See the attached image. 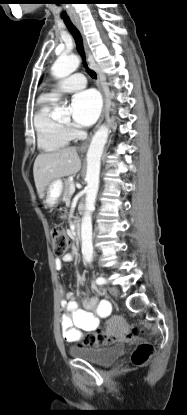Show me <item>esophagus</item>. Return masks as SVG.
<instances>
[{"label": "esophagus", "instance_id": "34e87169", "mask_svg": "<svg viewBox=\"0 0 187 415\" xmlns=\"http://www.w3.org/2000/svg\"><path fill=\"white\" fill-rule=\"evenodd\" d=\"M73 22H74L75 26L77 27V29L79 30V32L82 36L85 53H86L87 58H89L90 50H89V47H88V44H87L86 37H85L84 32H83L82 25H81V23L78 19H74ZM97 74H98L99 80L102 81V74L99 71H97ZM100 90H101L102 95H103L104 105H103V109H102L100 119H99V121H98V123H97L94 130H96L99 127V125L102 123V121L104 119L105 112H106V106H107V96H106V92H105V87L101 85ZM89 141H90V139H88L84 143H82V145L80 146V149L81 150H86L87 147H88Z\"/></svg>", "mask_w": 187, "mask_h": 415}]
</instances>
